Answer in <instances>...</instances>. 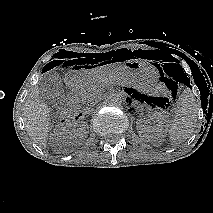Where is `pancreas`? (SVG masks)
Segmentation results:
<instances>
[{"label":"pancreas","instance_id":"obj_1","mask_svg":"<svg viewBox=\"0 0 213 213\" xmlns=\"http://www.w3.org/2000/svg\"><path fill=\"white\" fill-rule=\"evenodd\" d=\"M98 79H100V81L102 80L101 77ZM96 87L97 85L95 83H87L86 85H84L79 90V96L81 97V101L85 103L94 99L95 95L97 94Z\"/></svg>","mask_w":213,"mask_h":213}]
</instances>
